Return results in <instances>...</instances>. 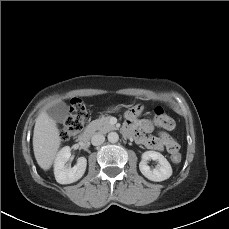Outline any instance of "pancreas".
<instances>
[{
  "label": "pancreas",
  "instance_id": "cf45deb5",
  "mask_svg": "<svg viewBox=\"0 0 229 229\" xmlns=\"http://www.w3.org/2000/svg\"><path fill=\"white\" fill-rule=\"evenodd\" d=\"M110 116H102L101 118L92 121L89 123L87 126V130L90 132H96L98 131L99 133H107L111 130H115L116 127L109 122Z\"/></svg>",
  "mask_w": 229,
  "mask_h": 229
}]
</instances>
